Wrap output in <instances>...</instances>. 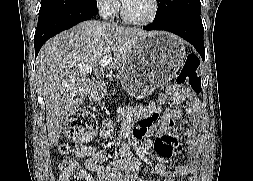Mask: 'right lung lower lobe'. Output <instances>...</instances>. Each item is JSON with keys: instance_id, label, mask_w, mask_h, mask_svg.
I'll list each match as a JSON object with an SVG mask.
<instances>
[{"instance_id": "right-lung-lower-lobe-1", "label": "right lung lower lobe", "mask_w": 253, "mask_h": 181, "mask_svg": "<svg viewBox=\"0 0 253 181\" xmlns=\"http://www.w3.org/2000/svg\"><path fill=\"white\" fill-rule=\"evenodd\" d=\"M98 13L83 7L67 8L38 18V25L34 36L35 57L42 45L52 36L74 25L89 20Z\"/></svg>"}]
</instances>
